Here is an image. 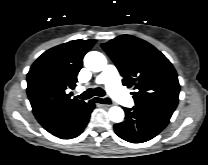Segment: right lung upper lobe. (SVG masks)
I'll list each match as a JSON object with an SVG mask.
<instances>
[{
  "label": "right lung upper lobe",
  "instance_id": "right-lung-upper-lobe-1",
  "mask_svg": "<svg viewBox=\"0 0 208 165\" xmlns=\"http://www.w3.org/2000/svg\"><path fill=\"white\" fill-rule=\"evenodd\" d=\"M96 40H74L44 52L27 74V93L33 113L51 131L83 110L87 104L66 89L76 86L83 57Z\"/></svg>",
  "mask_w": 208,
  "mask_h": 165
}]
</instances>
